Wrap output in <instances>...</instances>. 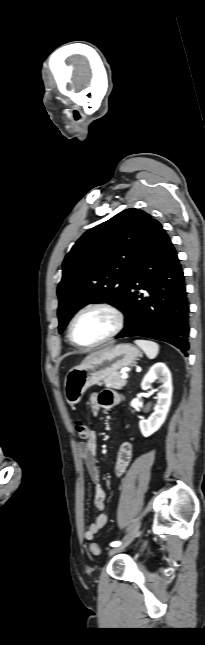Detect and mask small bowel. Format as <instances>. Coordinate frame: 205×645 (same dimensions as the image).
Instances as JSON below:
<instances>
[{
	"label": "small bowel",
	"instance_id": "1",
	"mask_svg": "<svg viewBox=\"0 0 205 645\" xmlns=\"http://www.w3.org/2000/svg\"><path fill=\"white\" fill-rule=\"evenodd\" d=\"M120 402L119 395L110 390H105L92 395L90 400L91 410L97 415L101 409H111ZM97 436L91 431V436L86 442L77 444V452L83 460L87 472L95 484L93 504L100 513L89 524L84 531L86 540H93L94 536L108 524V515L106 514V493L100 485V468L96 458ZM132 459V445L130 442L123 443L118 451L115 473L118 477L122 476L127 470Z\"/></svg>",
	"mask_w": 205,
	"mask_h": 645
}]
</instances>
